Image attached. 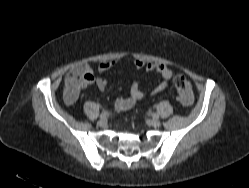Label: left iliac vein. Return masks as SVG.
<instances>
[{
    "label": "left iliac vein",
    "instance_id": "1",
    "mask_svg": "<svg viewBox=\"0 0 249 188\" xmlns=\"http://www.w3.org/2000/svg\"><path fill=\"white\" fill-rule=\"evenodd\" d=\"M149 125H151L153 127H160L161 122L158 120V118H153V119L149 120Z\"/></svg>",
    "mask_w": 249,
    "mask_h": 188
}]
</instances>
